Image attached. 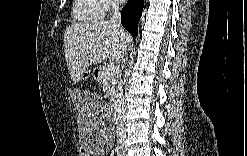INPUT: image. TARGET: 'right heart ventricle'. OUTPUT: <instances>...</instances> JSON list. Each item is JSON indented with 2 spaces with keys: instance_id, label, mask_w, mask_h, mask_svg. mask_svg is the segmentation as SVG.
Returning a JSON list of instances; mask_svg holds the SVG:
<instances>
[{
  "instance_id": "obj_1",
  "label": "right heart ventricle",
  "mask_w": 247,
  "mask_h": 156,
  "mask_svg": "<svg viewBox=\"0 0 247 156\" xmlns=\"http://www.w3.org/2000/svg\"><path fill=\"white\" fill-rule=\"evenodd\" d=\"M72 14L76 21L83 23L97 21L104 15L101 1L96 0L75 1Z\"/></svg>"
}]
</instances>
